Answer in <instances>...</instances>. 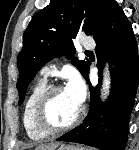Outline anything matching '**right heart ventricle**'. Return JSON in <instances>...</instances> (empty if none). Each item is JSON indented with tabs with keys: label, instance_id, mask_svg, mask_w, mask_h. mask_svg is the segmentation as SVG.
Instances as JSON below:
<instances>
[{
	"label": "right heart ventricle",
	"instance_id": "right-heart-ventricle-1",
	"mask_svg": "<svg viewBox=\"0 0 139 150\" xmlns=\"http://www.w3.org/2000/svg\"><path fill=\"white\" fill-rule=\"evenodd\" d=\"M46 87V79L42 78L38 80L33 86L23 108L22 122L24 130L30 139L36 141L42 140L48 136V134H45L36 128L33 118L36 102Z\"/></svg>",
	"mask_w": 139,
	"mask_h": 150
}]
</instances>
